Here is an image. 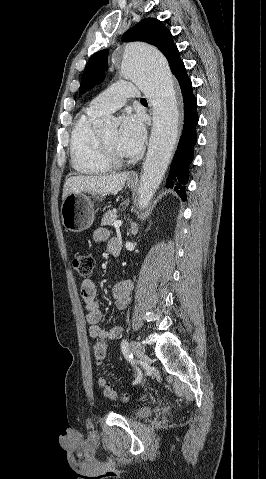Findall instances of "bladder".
I'll use <instances>...</instances> for the list:
<instances>
[{"label": "bladder", "instance_id": "31cf9c89", "mask_svg": "<svg viewBox=\"0 0 266 479\" xmlns=\"http://www.w3.org/2000/svg\"><path fill=\"white\" fill-rule=\"evenodd\" d=\"M152 412V408L150 406H141L137 408L134 412L135 417H146L150 415Z\"/></svg>", "mask_w": 266, "mask_h": 479}]
</instances>
